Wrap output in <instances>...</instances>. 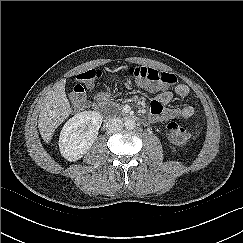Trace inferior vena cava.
Instances as JSON below:
<instances>
[{
	"mask_svg": "<svg viewBox=\"0 0 243 243\" xmlns=\"http://www.w3.org/2000/svg\"><path fill=\"white\" fill-rule=\"evenodd\" d=\"M124 124L119 118H110L106 124L105 128L108 133H116L123 129Z\"/></svg>",
	"mask_w": 243,
	"mask_h": 243,
	"instance_id": "inferior-vena-cava-1",
	"label": "inferior vena cava"
}]
</instances>
